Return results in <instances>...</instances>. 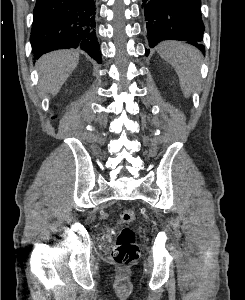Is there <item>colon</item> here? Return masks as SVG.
Segmentation results:
<instances>
[{"label": "colon", "instance_id": "colon-1", "mask_svg": "<svg viewBox=\"0 0 245 300\" xmlns=\"http://www.w3.org/2000/svg\"><path fill=\"white\" fill-rule=\"evenodd\" d=\"M136 219V212L132 208L124 209L119 216L118 224H130ZM139 256L136 236L132 229L123 228L116 238L111 257L115 264L125 267L133 263Z\"/></svg>", "mask_w": 245, "mask_h": 300}]
</instances>
